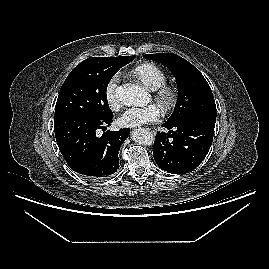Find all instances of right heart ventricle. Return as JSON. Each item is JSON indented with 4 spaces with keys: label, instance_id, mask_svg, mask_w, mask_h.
<instances>
[{
    "label": "right heart ventricle",
    "instance_id": "obj_1",
    "mask_svg": "<svg viewBox=\"0 0 269 269\" xmlns=\"http://www.w3.org/2000/svg\"><path fill=\"white\" fill-rule=\"evenodd\" d=\"M133 75L139 79L147 88L156 90L165 85L167 78L162 69L152 63H144L137 66Z\"/></svg>",
    "mask_w": 269,
    "mask_h": 269
}]
</instances>
